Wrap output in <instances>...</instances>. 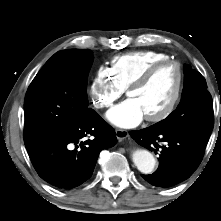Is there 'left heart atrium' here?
<instances>
[{
    "label": "left heart atrium",
    "instance_id": "39dd6f15",
    "mask_svg": "<svg viewBox=\"0 0 221 221\" xmlns=\"http://www.w3.org/2000/svg\"><path fill=\"white\" fill-rule=\"evenodd\" d=\"M144 117L145 115L138 101L130 97L107 113V119L112 124L122 128L135 127Z\"/></svg>",
    "mask_w": 221,
    "mask_h": 221
}]
</instances>
